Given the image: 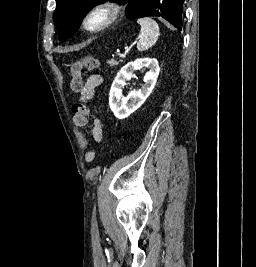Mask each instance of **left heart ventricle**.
<instances>
[{"label": "left heart ventricle", "mask_w": 256, "mask_h": 267, "mask_svg": "<svg viewBox=\"0 0 256 267\" xmlns=\"http://www.w3.org/2000/svg\"><path fill=\"white\" fill-rule=\"evenodd\" d=\"M104 17L103 16H98L93 20V25H99L103 21Z\"/></svg>", "instance_id": "b2bd125f"}]
</instances>
